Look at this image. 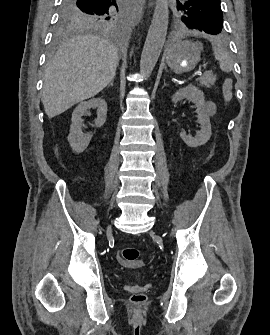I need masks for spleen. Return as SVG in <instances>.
Wrapping results in <instances>:
<instances>
[{"instance_id": "spleen-1", "label": "spleen", "mask_w": 270, "mask_h": 335, "mask_svg": "<svg viewBox=\"0 0 270 335\" xmlns=\"http://www.w3.org/2000/svg\"><path fill=\"white\" fill-rule=\"evenodd\" d=\"M213 48V52H214V56H215V60H218L219 64H220V70H222V72H231L232 68H233V62L231 60V56L229 54V52H227L223 42H220L219 38H212V40H210Z\"/></svg>"}]
</instances>
